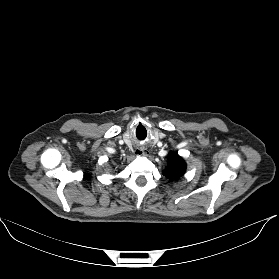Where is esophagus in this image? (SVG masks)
Wrapping results in <instances>:
<instances>
[{
  "instance_id": "34e87169",
  "label": "esophagus",
  "mask_w": 279,
  "mask_h": 279,
  "mask_svg": "<svg viewBox=\"0 0 279 279\" xmlns=\"http://www.w3.org/2000/svg\"><path fill=\"white\" fill-rule=\"evenodd\" d=\"M145 154H146L145 151L139 152V155H145Z\"/></svg>"
}]
</instances>
